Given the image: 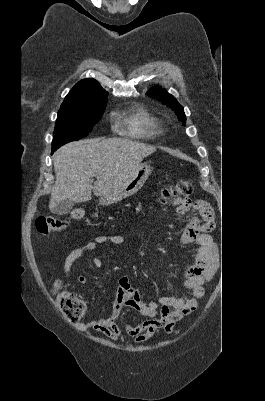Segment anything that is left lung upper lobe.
<instances>
[{"mask_svg":"<svg viewBox=\"0 0 265 401\" xmlns=\"http://www.w3.org/2000/svg\"><path fill=\"white\" fill-rule=\"evenodd\" d=\"M147 95L169 106L175 111L176 115H178V119L185 124L186 117L184 114V109L172 95L168 94L164 89L159 87H152L149 92H147Z\"/></svg>","mask_w":265,"mask_h":401,"instance_id":"obj_1","label":"left lung upper lobe"}]
</instances>
